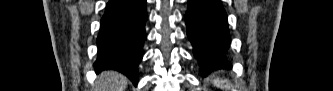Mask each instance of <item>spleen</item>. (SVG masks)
Segmentation results:
<instances>
[{
	"label": "spleen",
	"instance_id": "3e777b00",
	"mask_svg": "<svg viewBox=\"0 0 333 91\" xmlns=\"http://www.w3.org/2000/svg\"><path fill=\"white\" fill-rule=\"evenodd\" d=\"M213 84L219 88H230V86L228 85L227 81L226 80H221V79H214L213 80Z\"/></svg>",
	"mask_w": 333,
	"mask_h": 91
}]
</instances>
